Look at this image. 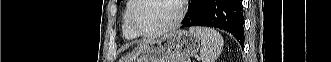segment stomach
<instances>
[{
  "label": "stomach",
  "mask_w": 331,
  "mask_h": 62,
  "mask_svg": "<svg viewBox=\"0 0 331 62\" xmlns=\"http://www.w3.org/2000/svg\"><path fill=\"white\" fill-rule=\"evenodd\" d=\"M200 39L187 30H174L160 38L139 44L131 53L132 62H183L200 49Z\"/></svg>",
  "instance_id": "obj_1"
}]
</instances>
